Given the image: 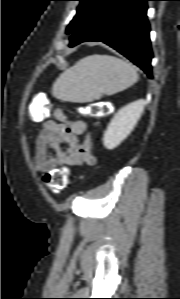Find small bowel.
<instances>
[{
  "instance_id": "obj_1",
  "label": "small bowel",
  "mask_w": 180,
  "mask_h": 299,
  "mask_svg": "<svg viewBox=\"0 0 180 299\" xmlns=\"http://www.w3.org/2000/svg\"><path fill=\"white\" fill-rule=\"evenodd\" d=\"M33 120L42 122L35 143L34 168L37 172L49 173L65 165L96 164L92 136L85 121L71 119L61 109L55 111L53 118L43 120L35 115ZM80 136H84L82 141Z\"/></svg>"
}]
</instances>
